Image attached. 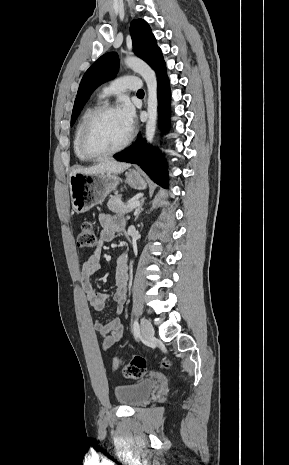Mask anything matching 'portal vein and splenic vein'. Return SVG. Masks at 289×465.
Segmentation results:
<instances>
[{
    "label": "portal vein and splenic vein",
    "mask_w": 289,
    "mask_h": 465,
    "mask_svg": "<svg viewBox=\"0 0 289 465\" xmlns=\"http://www.w3.org/2000/svg\"><path fill=\"white\" fill-rule=\"evenodd\" d=\"M139 205H140V201L136 200V201H131V202H129V203L127 204V207H129V208H135V207H137V206H139Z\"/></svg>",
    "instance_id": "18ae733b"
}]
</instances>
